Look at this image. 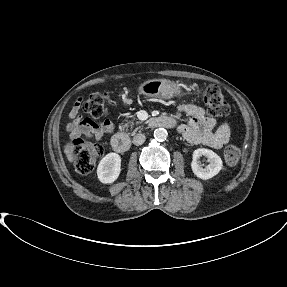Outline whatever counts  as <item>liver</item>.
<instances>
[{"instance_id": "6515ba94", "label": "liver", "mask_w": 287, "mask_h": 287, "mask_svg": "<svg viewBox=\"0 0 287 287\" xmlns=\"http://www.w3.org/2000/svg\"><path fill=\"white\" fill-rule=\"evenodd\" d=\"M73 152H74L73 147L70 145H67L65 148V154H66V157L69 160V162H73V160H74Z\"/></svg>"}]
</instances>
